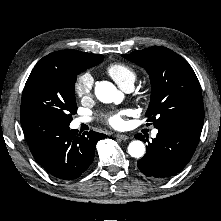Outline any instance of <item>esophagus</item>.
<instances>
[{
	"label": "esophagus",
	"instance_id": "esophagus-1",
	"mask_svg": "<svg viewBox=\"0 0 221 221\" xmlns=\"http://www.w3.org/2000/svg\"><path fill=\"white\" fill-rule=\"evenodd\" d=\"M115 136H116V138H118L120 140H127V139H129V136L125 135V134H116Z\"/></svg>",
	"mask_w": 221,
	"mask_h": 221
}]
</instances>
